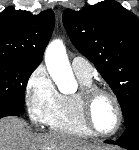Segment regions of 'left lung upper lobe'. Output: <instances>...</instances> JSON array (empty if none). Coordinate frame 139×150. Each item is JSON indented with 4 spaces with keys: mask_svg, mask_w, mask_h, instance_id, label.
<instances>
[{
    "mask_svg": "<svg viewBox=\"0 0 139 150\" xmlns=\"http://www.w3.org/2000/svg\"><path fill=\"white\" fill-rule=\"evenodd\" d=\"M63 24L78 49L109 84L121 105L125 127L139 118V20L116 1L80 11L66 9Z\"/></svg>",
    "mask_w": 139,
    "mask_h": 150,
    "instance_id": "obj_1",
    "label": "left lung upper lobe"
}]
</instances>
